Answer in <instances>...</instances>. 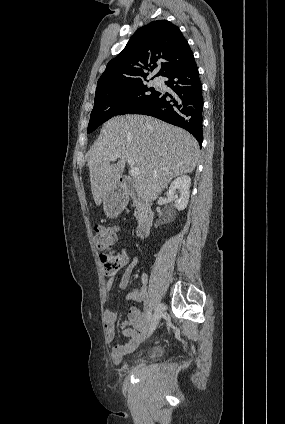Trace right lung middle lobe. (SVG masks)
Masks as SVG:
<instances>
[{"mask_svg": "<svg viewBox=\"0 0 285 424\" xmlns=\"http://www.w3.org/2000/svg\"><path fill=\"white\" fill-rule=\"evenodd\" d=\"M157 91L148 88L143 81L112 85L96 90L87 133L115 115L130 113L149 101Z\"/></svg>", "mask_w": 285, "mask_h": 424, "instance_id": "dd1d6c3e", "label": "right lung middle lobe"}]
</instances>
